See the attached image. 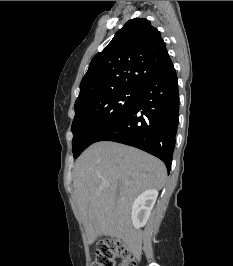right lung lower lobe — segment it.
Wrapping results in <instances>:
<instances>
[{"label":"right lung lower lobe","instance_id":"98d812e1","mask_svg":"<svg viewBox=\"0 0 233 266\" xmlns=\"http://www.w3.org/2000/svg\"><path fill=\"white\" fill-rule=\"evenodd\" d=\"M178 105L177 75L171 64L139 89L129 110L97 141H114L144 150L160 158L170 172Z\"/></svg>","mask_w":233,"mask_h":266}]
</instances>
